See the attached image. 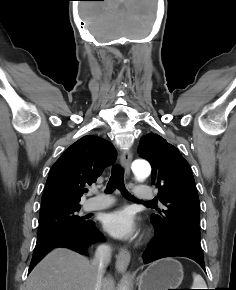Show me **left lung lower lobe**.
Here are the masks:
<instances>
[{"mask_svg": "<svg viewBox=\"0 0 236 290\" xmlns=\"http://www.w3.org/2000/svg\"><path fill=\"white\" fill-rule=\"evenodd\" d=\"M154 229V238L148 244L143 254L144 263H149L163 257L181 256L196 261L205 270L200 241L185 234L173 237L161 228L154 227Z\"/></svg>", "mask_w": 236, "mask_h": 290, "instance_id": "left-lung-lower-lobe-1", "label": "left lung lower lobe"}]
</instances>
